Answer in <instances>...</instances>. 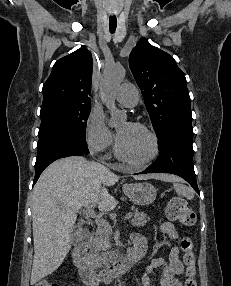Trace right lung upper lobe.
Returning <instances> with one entry per match:
<instances>
[{
  "label": "right lung upper lobe",
  "instance_id": "1",
  "mask_svg": "<svg viewBox=\"0 0 231 286\" xmlns=\"http://www.w3.org/2000/svg\"><path fill=\"white\" fill-rule=\"evenodd\" d=\"M93 60L82 47L59 59L43 86L42 106L66 102L90 104Z\"/></svg>",
  "mask_w": 231,
  "mask_h": 286
}]
</instances>
